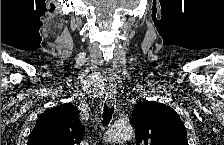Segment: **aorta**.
Listing matches in <instances>:
<instances>
[{
    "mask_svg": "<svg viewBox=\"0 0 224 145\" xmlns=\"http://www.w3.org/2000/svg\"><path fill=\"white\" fill-rule=\"evenodd\" d=\"M133 128L126 123H115L106 132V141L117 143L128 141L133 137Z\"/></svg>",
    "mask_w": 224,
    "mask_h": 145,
    "instance_id": "aorta-1",
    "label": "aorta"
}]
</instances>
